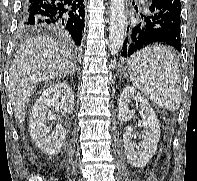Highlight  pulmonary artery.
Segmentation results:
<instances>
[{
    "label": "pulmonary artery",
    "mask_w": 197,
    "mask_h": 181,
    "mask_svg": "<svg viewBox=\"0 0 197 181\" xmlns=\"http://www.w3.org/2000/svg\"><path fill=\"white\" fill-rule=\"evenodd\" d=\"M143 4L146 5V1H143Z\"/></svg>",
    "instance_id": "1"
}]
</instances>
